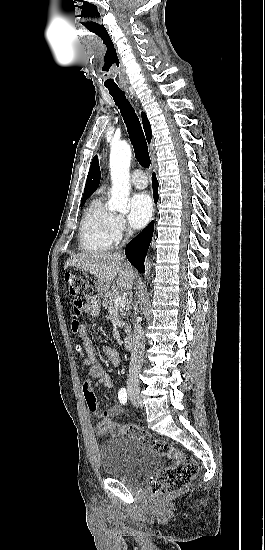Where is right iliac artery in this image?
Returning <instances> with one entry per match:
<instances>
[{"label": "right iliac artery", "mask_w": 265, "mask_h": 550, "mask_svg": "<svg viewBox=\"0 0 265 550\" xmlns=\"http://www.w3.org/2000/svg\"><path fill=\"white\" fill-rule=\"evenodd\" d=\"M118 398L120 403L126 404L127 402V392L125 388H121L118 392Z\"/></svg>", "instance_id": "obj_1"}]
</instances>
